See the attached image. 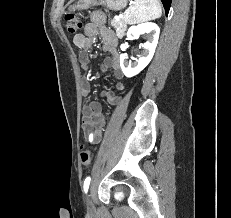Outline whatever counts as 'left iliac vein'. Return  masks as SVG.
<instances>
[{"label":"left iliac vein","instance_id":"left-iliac-vein-1","mask_svg":"<svg viewBox=\"0 0 231 218\" xmlns=\"http://www.w3.org/2000/svg\"><path fill=\"white\" fill-rule=\"evenodd\" d=\"M86 204H87V209L89 212H93L95 210L94 204H93V199L91 193H89L86 197Z\"/></svg>","mask_w":231,"mask_h":218}]
</instances>
